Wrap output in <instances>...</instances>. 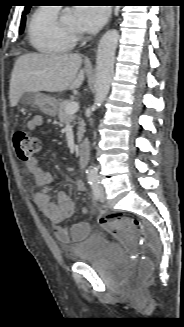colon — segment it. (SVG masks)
I'll use <instances>...</instances> for the list:
<instances>
[{
  "label": "colon",
  "mask_w": 184,
  "mask_h": 327,
  "mask_svg": "<svg viewBox=\"0 0 184 327\" xmlns=\"http://www.w3.org/2000/svg\"><path fill=\"white\" fill-rule=\"evenodd\" d=\"M13 145L17 156L22 161H29L41 150L40 140L24 130H17L13 134ZM99 224L126 243L138 242L140 245L153 242L154 236L147 229L145 223L138 217H131L124 213H104ZM151 272V263L139 250L132 272L129 277V287L139 291Z\"/></svg>",
  "instance_id": "colon-1"
}]
</instances>
